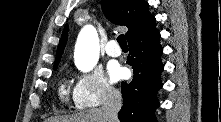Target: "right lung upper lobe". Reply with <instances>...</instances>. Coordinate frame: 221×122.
Here are the masks:
<instances>
[{"label":"right lung upper lobe","mask_w":221,"mask_h":122,"mask_svg":"<svg viewBox=\"0 0 221 122\" xmlns=\"http://www.w3.org/2000/svg\"><path fill=\"white\" fill-rule=\"evenodd\" d=\"M102 10L105 16L117 25H124L128 28L127 40H130L155 23V18L148 11V3L144 0H102ZM68 26L66 25L57 49L54 67H57L65 44L67 42Z\"/></svg>","instance_id":"right-lung-upper-lobe-1"}]
</instances>
